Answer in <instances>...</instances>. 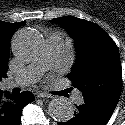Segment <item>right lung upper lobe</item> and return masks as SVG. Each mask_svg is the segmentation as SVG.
<instances>
[{
  "mask_svg": "<svg viewBox=\"0 0 125 125\" xmlns=\"http://www.w3.org/2000/svg\"><path fill=\"white\" fill-rule=\"evenodd\" d=\"M24 23L25 21L19 23L0 21V81L7 77L11 35L14 30L24 25Z\"/></svg>",
  "mask_w": 125,
  "mask_h": 125,
  "instance_id": "obj_1",
  "label": "right lung upper lobe"
}]
</instances>
